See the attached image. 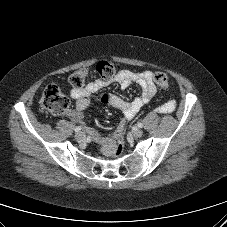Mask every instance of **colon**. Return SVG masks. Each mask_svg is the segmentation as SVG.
Wrapping results in <instances>:
<instances>
[{"instance_id":"1","label":"colon","mask_w":227,"mask_h":227,"mask_svg":"<svg viewBox=\"0 0 227 227\" xmlns=\"http://www.w3.org/2000/svg\"><path fill=\"white\" fill-rule=\"evenodd\" d=\"M96 71L101 79L110 80L113 79L119 72V66L109 62L100 61L96 65ZM87 78V70L80 69L75 71L69 77L70 84L75 88H80L84 85ZM154 82L156 85L164 89L169 84L167 75L163 72L154 73ZM41 109L52 115H63L68 111L70 101L68 97L60 90L56 85H49L45 88L41 97ZM123 151V140L122 134L119 140L115 155L119 157Z\"/></svg>"}]
</instances>
